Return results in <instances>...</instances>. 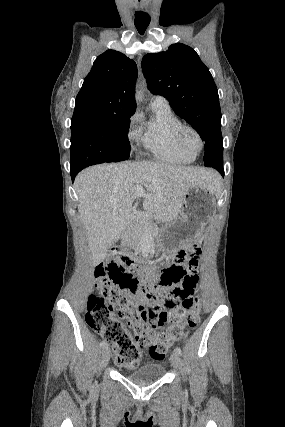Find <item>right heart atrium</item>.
<instances>
[{
  "mask_svg": "<svg viewBox=\"0 0 285 427\" xmlns=\"http://www.w3.org/2000/svg\"><path fill=\"white\" fill-rule=\"evenodd\" d=\"M137 120H138V115H137V114H134V115L130 118V122H131V124H134ZM136 135H137V131H134V130H132V129H130V130H129V132H128V136H129V137H134V136H136Z\"/></svg>",
  "mask_w": 285,
  "mask_h": 427,
  "instance_id": "d8ad5b80",
  "label": "right heart atrium"
}]
</instances>
